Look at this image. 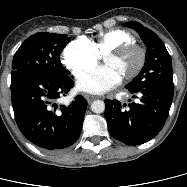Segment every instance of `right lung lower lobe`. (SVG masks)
I'll return each instance as SVG.
<instances>
[{"label":"right lung lower lobe","instance_id":"right-lung-lower-lobe-1","mask_svg":"<svg viewBox=\"0 0 187 187\" xmlns=\"http://www.w3.org/2000/svg\"><path fill=\"white\" fill-rule=\"evenodd\" d=\"M74 86L69 77L20 74L11 78L12 107L22 134L45 150L57 151L80 136L87 101L77 96L69 105L51 103ZM58 108V110H56Z\"/></svg>","mask_w":187,"mask_h":187}]
</instances>
